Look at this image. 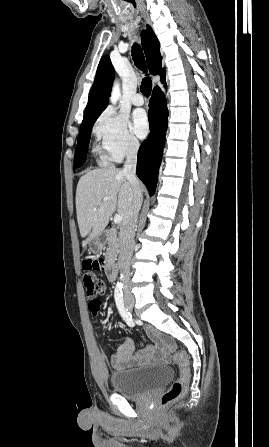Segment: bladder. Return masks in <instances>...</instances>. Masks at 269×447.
Returning a JSON list of instances; mask_svg holds the SVG:
<instances>
[{
    "label": "bladder",
    "mask_w": 269,
    "mask_h": 447,
    "mask_svg": "<svg viewBox=\"0 0 269 447\" xmlns=\"http://www.w3.org/2000/svg\"><path fill=\"white\" fill-rule=\"evenodd\" d=\"M172 377L170 366L152 365L113 373L109 383L113 392L121 393L122 397L139 398L172 380Z\"/></svg>",
    "instance_id": "bladder-1"
}]
</instances>
